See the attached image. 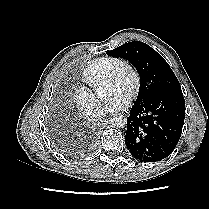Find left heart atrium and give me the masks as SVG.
I'll use <instances>...</instances> for the list:
<instances>
[{"label": "left heart atrium", "instance_id": "1", "mask_svg": "<svg viewBox=\"0 0 209 209\" xmlns=\"http://www.w3.org/2000/svg\"><path fill=\"white\" fill-rule=\"evenodd\" d=\"M129 103L128 95L116 92L104 105L103 112L110 113L119 109H123Z\"/></svg>", "mask_w": 209, "mask_h": 209}]
</instances>
